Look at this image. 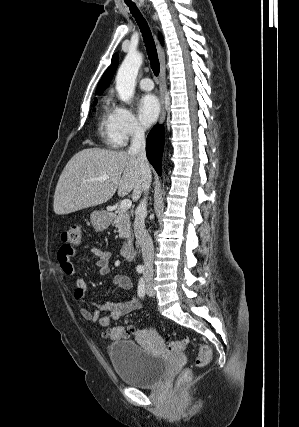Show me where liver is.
<instances>
[{"mask_svg":"<svg viewBox=\"0 0 299 427\" xmlns=\"http://www.w3.org/2000/svg\"><path fill=\"white\" fill-rule=\"evenodd\" d=\"M108 175L105 180L98 179ZM137 156L124 151L87 148L75 154L63 169L54 194V212L69 214L103 204L118 190L132 192L135 202L143 191Z\"/></svg>","mask_w":299,"mask_h":427,"instance_id":"1","label":"liver"}]
</instances>
